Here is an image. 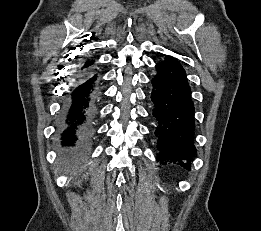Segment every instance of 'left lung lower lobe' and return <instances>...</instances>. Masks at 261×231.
Returning a JSON list of instances; mask_svg holds the SVG:
<instances>
[{
	"instance_id": "0a47b994",
	"label": "left lung lower lobe",
	"mask_w": 261,
	"mask_h": 231,
	"mask_svg": "<svg viewBox=\"0 0 261 231\" xmlns=\"http://www.w3.org/2000/svg\"><path fill=\"white\" fill-rule=\"evenodd\" d=\"M151 100L156 120L157 161L190 170L194 146V105L186 72L171 57L156 64Z\"/></svg>"
}]
</instances>
